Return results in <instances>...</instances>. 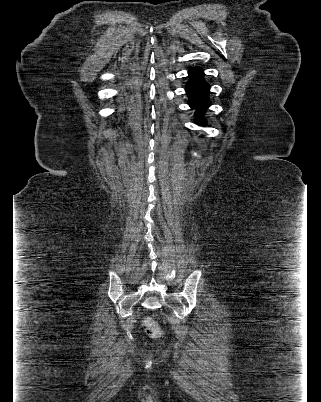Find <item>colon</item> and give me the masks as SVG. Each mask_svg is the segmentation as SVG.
Here are the masks:
<instances>
[{"label": "colon", "mask_w": 321, "mask_h": 402, "mask_svg": "<svg viewBox=\"0 0 321 402\" xmlns=\"http://www.w3.org/2000/svg\"><path fill=\"white\" fill-rule=\"evenodd\" d=\"M143 328L149 336L154 339H160L163 336V332L159 325L150 317H146L143 320Z\"/></svg>", "instance_id": "1"}]
</instances>
